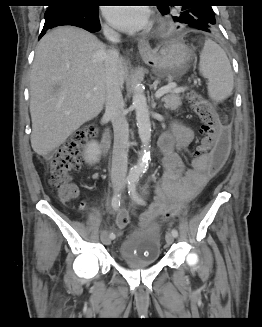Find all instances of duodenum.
Wrapping results in <instances>:
<instances>
[{
    "label": "duodenum",
    "instance_id": "410a0bca",
    "mask_svg": "<svg viewBox=\"0 0 262 327\" xmlns=\"http://www.w3.org/2000/svg\"><path fill=\"white\" fill-rule=\"evenodd\" d=\"M110 146H111V135L109 130H105L103 137L101 139L102 155L104 157L108 155Z\"/></svg>",
    "mask_w": 262,
    "mask_h": 327
}]
</instances>
